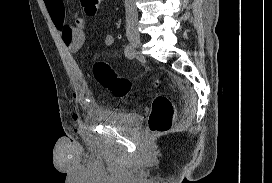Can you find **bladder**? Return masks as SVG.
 <instances>
[{
	"label": "bladder",
	"instance_id": "31cf9c89",
	"mask_svg": "<svg viewBox=\"0 0 272 183\" xmlns=\"http://www.w3.org/2000/svg\"><path fill=\"white\" fill-rule=\"evenodd\" d=\"M103 121L111 126L122 129H132L137 123L139 116L135 112L120 111L103 114Z\"/></svg>",
	"mask_w": 272,
	"mask_h": 183
}]
</instances>
